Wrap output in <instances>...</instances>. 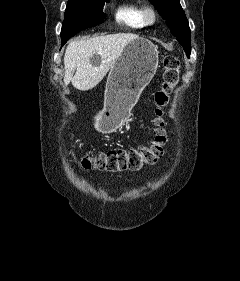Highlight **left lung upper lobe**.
I'll return each mask as SVG.
<instances>
[{"label": "left lung upper lobe", "instance_id": "left-lung-upper-lobe-1", "mask_svg": "<svg viewBox=\"0 0 240 281\" xmlns=\"http://www.w3.org/2000/svg\"><path fill=\"white\" fill-rule=\"evenodd\" d=\"M166 20L172 34L189 58L191 53L190 28L179 0H149Z\"/></svg>", "mask_w": 240, "mask_h": 281}]
</instances>
